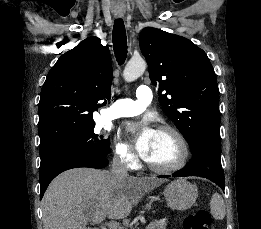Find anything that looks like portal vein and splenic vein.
Instances as JSON below:
<instances>
[{"instance_id":"18ae733b","label":"portal vein and splenic vein","mask_w":261,"mask_h":229,"mask_svg":"<svg viewBox=\"0 0 261 229\" xmlns=\"http://www.w3.org/2000/svg\"><path fill=\"white\" fill-rule=\"evenodd\" d=\"M154 227H155L154 221L150 220L148 226L145 227V229H153ZM102 229H104V227H102ZM111 229H114V227H111Z\"/></svg>"}]
</instances>
